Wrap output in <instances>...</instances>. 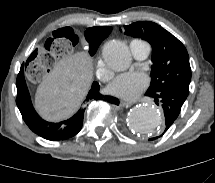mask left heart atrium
<instances>
[{
  "label": "left heart atrium",
  "instance_id": "39dd6f15",
  "mask_svg": "<svg viewBox=\"0 0 215 183\" xmlns=\"http://www.w3.org/2000/svg\"><path fill=\"white\" fill-rule=\"evenodd\" d=\"M148 78L142 72L125 73L109 85V92L125 100H135L147 87Z\"/></svg>",
  "mask_w": 215,
  "mask_h": 183
}]
</instances>
